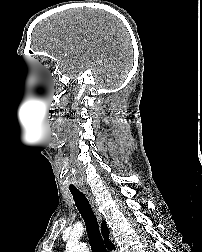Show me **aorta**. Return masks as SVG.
I'll return each instance as SVG.
<instances>
[{
	"instance_id": "aorta-1",
	"label": "aorta",
	"mask_w": 202,
	"mask_h": 252,
	"mask_svg": "<svg viewBox=\"0 0 202 252\" xmlns=\"http://www.w3.org/2000/svg\"><path fill=\"white\" fill-rule=\"evenodd\" d=\"M65 252H89L84 244L68 243Z\"/></svg>"
}]
</instances>
